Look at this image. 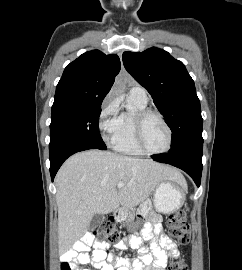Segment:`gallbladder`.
<instances>
[{
  "label": "gallbladder",
  "instance_id": "bac80fb5",
  "mask_svg": "<svg viewBox=\"0 0 242 270\" xmlns=\"http://www.w3.org/2000/svg\"><path fill=\"white\" fill-rule=\"evenodd\" d=\"M104 220V215L97 213L93 216L91 222H90V229L98 227Z\"/></svg>",
  "mask_w": 242,
  "mask_h": 270
}]
</instances>
